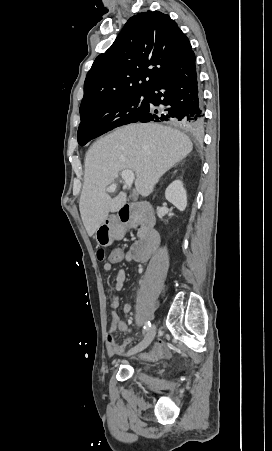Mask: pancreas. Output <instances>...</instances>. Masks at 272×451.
I'll use <instances>...</instances> for the list:
<instances>
[{"instance_id": "pancreas-1", "label": "pancreas", "mask_w": 272, "mask_h": 451, "mask_svg": "<svg viewBox=\"0 0 272 451\" xmlns=\"http://www.w3.org/2000/svg\"><path fill=\"white\" fill-rule=\"evenodd\" d=\"M120 227H122V226H120ZM137 235H138V237H141V229H139Z\"/></svg>"}]
</instances>
